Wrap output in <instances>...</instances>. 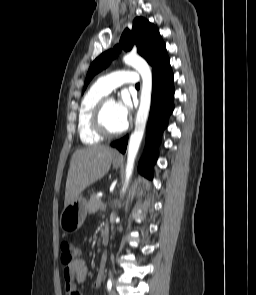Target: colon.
Listing matches in <instances>:
<instances>
[{
    "label": "colon",
    "instance_id": "obj_1",
    "mask_svg": "<svg viewBox=\"0 0 256 295\" xmlns=\"http://www.w3.org/2000/svg\"><path fill=\"white\" fill-rule=\"evenodd\" d=\"M80 250L73 240H64L61 244V263L70 266L78 259Z\"/></svg>",
    "mask_w": 256,
    "mask_h": 295
}]
</instances>
